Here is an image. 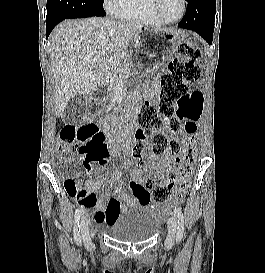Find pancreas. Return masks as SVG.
<instances>
[{
    "mask_svg": "<svg viewBox=\"0 0 265 273\" xmlns=\"http://www.w3.org/2000/svg\"><path fill=\"white\" fill-rule=\"evenodd\" d=\"M133 65L129 62L121 63L115 70L110 83V91L113 94L118 86L124 85L126 80L132 75Z\"/></svg>",
    "mask_w": 265,
    "mask_h": 273,
    "instance_id": "pancreas-1",
    "label": "pancreas"
}]
</instances>
